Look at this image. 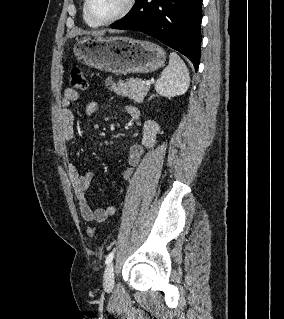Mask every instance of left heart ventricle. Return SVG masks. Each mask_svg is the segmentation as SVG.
I'll return each instance as SVG.
<instances>
[{
  "label": "left heart ventricle",
  "mask_w": 284,
  "mask_h": 319,
  "mask_svg": "<svg viewBox=\"0 0 284 319\" xmlns=\"http://www.w3.org/2000/svg\"><path fill=\"white\" fill-rule=\"evenodd\" d=\"M125 0H90V12L98 20L115 16L123 7Z\"/></svg>",
  "instance_id": "b2bd125f"
}]
</instances>
